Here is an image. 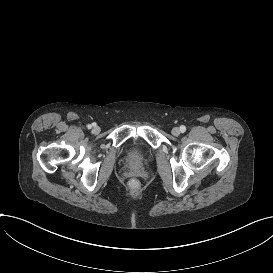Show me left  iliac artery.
<instances>
[{
  "instance_id": "left-iliac-artery-1",
  "label": "left iliac artery",
  "mask_w": 273,
  "mask_h": 273,
  "mask_svg": "<svg viewBox=\"0 0 273 273\" xmlns=\"http://www.w3.org/2000/svg\"><path fill=\"white\" fill-rule=\"evenodd\" d=\"M180 131L184 133L186 131V127L184 125L180 126Z\"/></svg>"
}]
</instances>
